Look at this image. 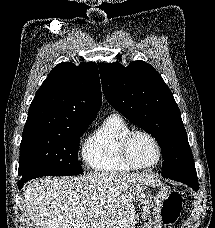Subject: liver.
<instances>
[{
	"label": "liver",
	"mask_w": 215,
	"mask_h": 228,
	"mask_svg": "<svg viewBox=\"0 0 215 228\" xmlns=\"http://www.w3.org/2000/svg\"><path fill=\"white\" fill-rule=\"evenodd\" d=\"M147 174H86L39 178L24 186L26 210L36 228H133L137 184Z\"/></svg>",
	"instance_id": "1"
}]
</instances>
